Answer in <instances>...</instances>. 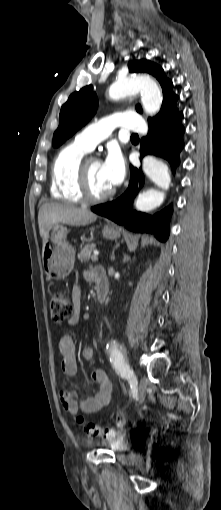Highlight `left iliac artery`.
Wrapping results in <instances>:
<instances>
[{
    "label": "left iliac artery",
    "mask_w": 221,
    "mask_h": 510,
    "mask_svg": "<svg viewBox=\"0 0 221 510\" xmlns=\"http://www.w3.org/2000/svg\"><path fill=\"white\" fill-rule=\"evenodd\" d=\"M110 361L114 368L120 373V375L129 380L131 386L136 383L134 372L131 369L127 359H125L121 349L117 348L116 346L111 349Z\"/></svg>",
    "instance_id": "obj_1"
}]
</instances>
